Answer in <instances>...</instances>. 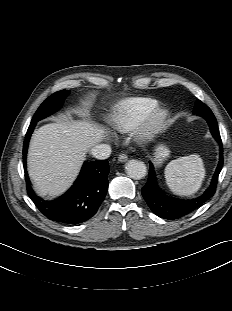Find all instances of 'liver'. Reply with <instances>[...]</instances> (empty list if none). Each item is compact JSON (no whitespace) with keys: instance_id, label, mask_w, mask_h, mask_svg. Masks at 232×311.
Wrapping results in <instances>:
<instances>
[{"instance_id":"1","label":"liver","mask_w":232,"mask_h":311,"mask_svg":"<svg viewBox=\"0 0 232 311\" xmlns=\"http://www.w3.org/2000/svg\"><path fill=\"white\" fill-rule=\"evenodd\" d=\"M104 129L88 121L64 120L41 126L32 136L28 172L40 196L56 197L78 175L86 152L105 136Z\"/></svg>"}]
</instances>
